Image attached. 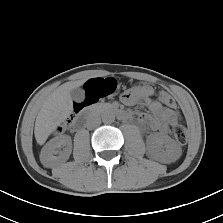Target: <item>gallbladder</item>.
<instances>
[{"label":"gallbladder","mask_w":223,"mask_h":223,"mask_svg":"<svg viewBox=\"0 0 223 223\" xmlns=\"http://www.w3.org/2000/svg\"><path fill=\"white\" fill-rule=\"evenodd\" d=\"M70 95L73 100L82 101V100H84L85 92L81 88H75V89L71 90Z\"/></svg>","instance_id":"bac80fb5"}]
</instances>
